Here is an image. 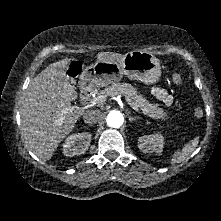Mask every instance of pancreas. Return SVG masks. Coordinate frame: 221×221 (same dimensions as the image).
Listing matches in <instances>:
<instances>
[{
  "label": "pancreas",
  "instance_id": "obj_1",
  "mask_svg": "<svg viewBox=\"0 0 221 221\" xmlns=\"http://www.w3.org/2000/svg\"><path fill=\"white\" fill-rule=\"evenodd\" d=\"M120 93L130 98L134 105L150 118L162 120L168 119V116L163 109L159 108L157 104L149 103V101H147L142 95H138L137 89L131 84L114 83L101 92V94L107 96H114Z\"/></svg>",
  "mask_w": 221,
  "mask_h": 221
}]
</instances>
